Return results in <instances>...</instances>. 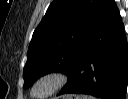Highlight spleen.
<instances>
[{
	"label": "spleen",
	"instance_id": "obj_1",
	"mask_svg": "<svg viewBox=\"0 0 128 99\" xmlns=\"http://www.w3.org/2000/svg\"><path fill=\"white\" fill-rule=\"evenodd\" d=\"M81 99H91V97L81 96Z\"/></svg>",
	"mask_w": 128,
	"mask_h": 99
}]
</instances>
